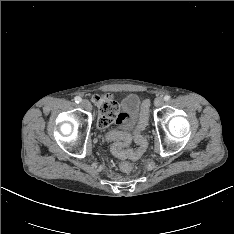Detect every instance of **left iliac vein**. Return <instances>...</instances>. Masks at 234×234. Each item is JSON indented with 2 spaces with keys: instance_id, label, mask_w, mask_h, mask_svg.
<instances>
[{
  "instance_id": "1",
  "label": "left iliac vein",
  "mask_w": 234,
  "mask_h": 234,
  "mask_svg": "<svg viewBox=\"0 0 234 234\" xmlns=\"http://www.w3.org/2000/svg\"><path fill=\"white\" fill-rule=\"evenodd\" d=\"M164 103V99L162 97H157L155 100H154V105L156 107H160L162 106Z\"/></svg>"
}]
</instances>
